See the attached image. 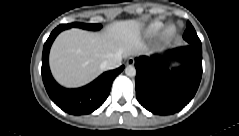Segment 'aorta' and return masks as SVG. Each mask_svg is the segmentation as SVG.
I'll list each match as a JSON object with an SVG mask.
<instances>
[{"instance_id":"aorta-1","label":"aorta","mask_w":239,"mask_h":136,"mask_svg":"<svg viewBox=\"0 0 239 136\" xmlns=\"http://www.w3.org/2000/svg\"><path fill=\"white\" fill-rule=\"evenodd\" d=\"M125 74L129 77H134L136 75V69L134 66L129 65L125 68Z\"/></svg>"}]
</instances>
